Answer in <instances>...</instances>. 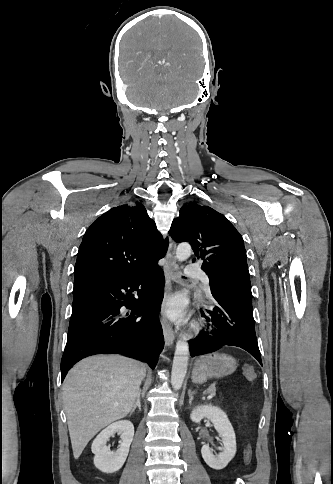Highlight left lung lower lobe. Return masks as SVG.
Here are the masks:
<instances>
[{"label":"left lung lower lobe","mask_w":333,"mask_h":484,"mask_svg":"<svg viewBox=\"0 0 333 484\" xmlns=\"http://www.w3.org/2000/svg\"><path fill=\"white\" fill-rule=\"evenodd\" d=\"M216 306L201 310L208 322L199 338L189 342L191 356L219 350L224 345L240 347L262 365L257 343L252 293L247 261L240 253L223 254L206 271Z\"/></svg>","instance_id":"obj_1"}]
</instances>
